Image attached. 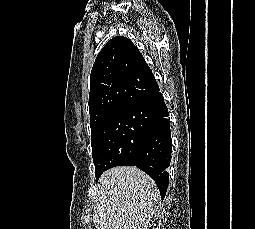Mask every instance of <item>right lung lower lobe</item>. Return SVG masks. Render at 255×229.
<instances>
[{
	"label": "right lung lower lobe",
	"instance_id": "right-lung-lower-lobe-1",
	"mask_svg": "<svg viewBox=\"0 0 255 229\" xmlns=\"http://www.w3.org/2000/svg\"><path fill=\"white\" fill-rule=\"evenodd\" d=\"M126 110L142 118L146 127L137 158L129 166L147 173L156 182L163 200L169 183L167 168L171 161L172 141L168 109L158 84L150 95Z\"/></svg>",
	"mask_w": 255,
	"mask_h": 229
}]
</instances>
